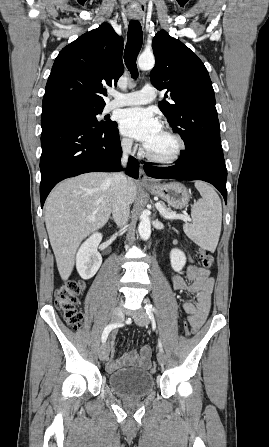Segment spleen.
I'll return each mask as SVG.
<instances>
[{"mask_svg":"<svg viewBox=\"0 0 269 447\" xmlns=\"http://www.w3.org/2000/svg\"><path fill=\"white\" fill-rule=\"evenodd\" d=\"M195 188L202 198L192 206V224H184L183 229L197 245L208 251H215L222 224L221 200L214 188L206 182L197 180Z\"/></svg>","mask_w":269,"mask_h":447,"instance_id":"1","label":"spleen"}]
</instances>
